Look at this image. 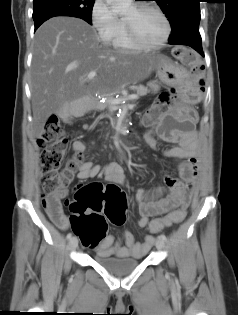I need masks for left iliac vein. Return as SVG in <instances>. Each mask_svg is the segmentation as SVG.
I'll return each instance as SVG.
<instances>
[{"instance_id":"left-iliac-vein-1","label":"left iliac vein","mask_w":238,"mask_h":315,"mask_svg":"<svg viewBox=\"0 0 238 315\" xmlns=\"http://www.w3.org/2000/svg\"><path fill=\"white\" fill-rule=\"evenodd\" d=\"M156 247L158 250H163L165 247L164 240H162L161 238H158L156 241Z\"/></svg>"}]
</instances>
